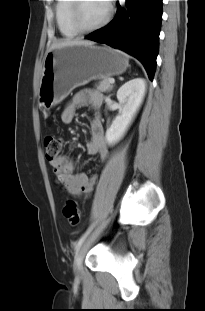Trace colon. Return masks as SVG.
<instances>
[{
	"instance_id": "obj_1",
	"label": "colon",
	"mask_w": 205,
	"mask_h": 311,
	"mask_svg": "<svg viewBox=\"0 0 205 311\" xmlns=\"http://www.w3.org/2000/svg\"><path fill=\"white\" fill-rule=\"evenodd\" d=\"M45 156L48 161L56 159L62 150L63 140L56 136H46L44 140ZM63 215L68 223L77 226L80 223V209L75 200H68L63 207Z\"/></svg>"
}]
</instances>
